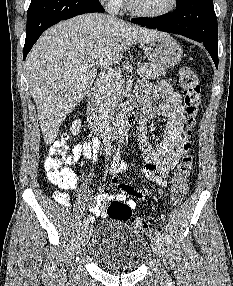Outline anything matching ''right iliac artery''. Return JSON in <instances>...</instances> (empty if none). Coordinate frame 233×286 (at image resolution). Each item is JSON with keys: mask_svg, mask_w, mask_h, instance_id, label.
I'll return each instance as SVG.
<instances>
[{"mask_svg": "<svg viewBox=\"0 0 233 286\" xmlns=\"http://www.w3.org/2000/svg\"><path fill=\"white\" fill-rule=\"evenodd\" d=\"M119 160H120V149H117L116 155L114 156V159L112 161V165H111V172H114L116 170V167L119 164ZM89 224V219H85L82 223V229L86 228Z\"/></svg>", "mask_w": 233, "mask_h": 286, "instance_id": "right-iliac-artery-1", "label": "right iliac artery"}]
</instances>
